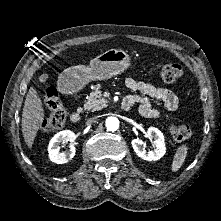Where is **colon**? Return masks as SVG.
<instances>
[{"instance_id": "colon-1", "label": "colon", "mask_w": 221, "mask_h": 221, "mask_svg": "<svg viewBox=\"0 0 221 221\" xmlns=\"http://www.w3.org/2000/svg\"><path fill=\"white\" fill-rule=\"evenodd\" d=\"M158 69L162 79L166 82H175L182 75V67L176 63L162 64ZM44 102L49 110V115L42 123V130L45 132L57 131L65 123L67 111L55 88L46 89ZM169 133L175 141L188 139L192 133V121H188L183 125H170Z\"/></svg>"}]
</instances>
